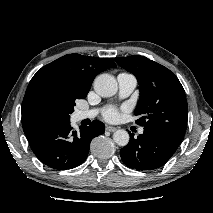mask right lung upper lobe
<instances>
[{"instance_id":"1","label":"right lung upper lobe","mask_w":213,"mask_h":213,"mask_svg":"<svg viewBox=\"0 0 213 213\" xmlns=\"http://www.w3.org/2000/svg\"><path fill=\"white\" fill-rule=\"evenodd\" d=\"M110 67H116L111 58L67 54L43 66L33 76L28 86L48 81L87 95L94 78Z\"/></svg>"}]
</instances>
